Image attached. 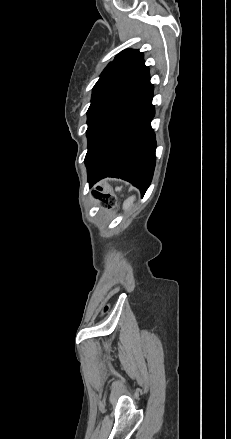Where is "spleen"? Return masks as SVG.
Here are the masks:
<instances>
[{"label": "spleen", "mask_w": 231, "mask_h": 439, "mask_svg": "<svg viewBox=\"0 0 231 439\" xmlns=\"http://www.w3.org/2000/svg\"><path fill=\"white\" fill-rule=\"evenodd\" d=\"M134 201H135V196H131V197H129V198L124 202V204H123V209H124L125 211L129 210V209L133 206Z\"/></svg>", "instance_id": "obj_1"}]
</instances>
